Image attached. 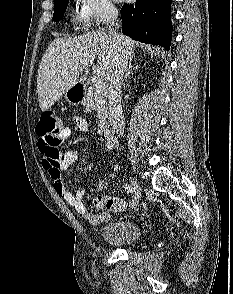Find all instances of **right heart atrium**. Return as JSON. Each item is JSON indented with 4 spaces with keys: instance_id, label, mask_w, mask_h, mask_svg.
Masks as SVG:
<instances>
[{
    "instance_id": "d8ad5b80",
    "label": "right heart atrium",
    "mask_w": 233,
    "mask_h": 294,
    "mask_svg": "<svg viewBox=\"0 0 233 294\" xmlns=\"http://www.w3.org/2000/svg\"><path fill=\"white\" fill-rule=\"evenodd\" d=\"M78 15L86 27H100L113 20L118 10L113 0H77Z\"/></svg>"
}]
</instances>
